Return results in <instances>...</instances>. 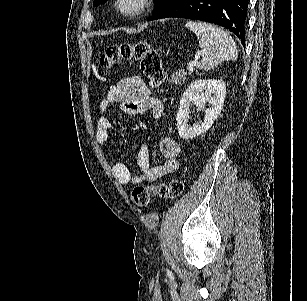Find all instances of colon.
Masks as SVG:
<instances>
[{"mask_svg": "<svg viewBox=\"0 0 307 301\" xmlns=\"http://www.w3.org/2000/svg\"><path fill=\"white\" fill-rule=\"evenodd\" d=\"M122 61H137L140 70L151 86L157 87L164 80L161 58L147 41L124 42L108 47L100 57L102 68L109 69ZM184 191V184L179 179L168 183L137 185L131 191V199L138 207H146L152 196L166 199L179 197Z\"/></svg>", "mask_w": 307, "mask_h": 301, "instance_id": "colon-1", "label": "colon"}]
</instances>
